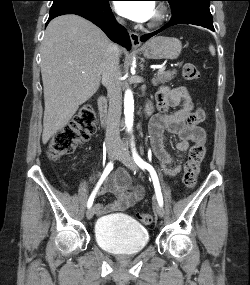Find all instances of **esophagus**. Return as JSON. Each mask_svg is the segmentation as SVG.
Here are the masks:
<instances>
[{
	"label": "esophagus",
	"mask_w": 250,
	"mask_h": 285,
	"mask_svg": "<svg viewBox=\"0 0 250 285\" xmlns=\"http://www.w3.org/2000/svg\"><path fill=\"white\" fill-rule=\"evenodd\" d=\"M133 48H139L141 45L140 35L136 32L130 31L129 33Z\"/></svg>",
	"instance_id": "1"
}]
</instances>
